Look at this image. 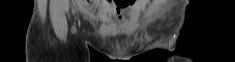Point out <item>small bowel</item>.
I'll return each mask as SVG.
<instances>
[{"label": "small bowel", "instance_id": "obj_1", "mask_svg": "<svg viewBox=\"0 0 235 62\" xmlns=\"http://www.w3.org/2000/svg\"><path fill=\"white\" fill-rule=\"evenodd\" d=\"M117 5L120 6V7H124V6L127 5V3L123 2V1H120V2L117 3Z\"/></svg>", "mask_w": 235, "mask_h": 62}]
</instances>
